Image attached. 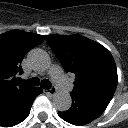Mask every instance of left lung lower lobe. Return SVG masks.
I'll return each instance as SVG.
<instances>
[{
  "instance_id": "0a47b994",
  "label": "left lung lower lobe",
  "mask_w": 128,
  "mask_h": 128,
  "mask_svg": "<svg viewBox=\"0 0 128 128\" xmlns=\"http://www.w3.org/2000/svg\"><path fill=\"white\" fill-rule=\"evenodd\" d=\"M73 103L69 110L58 112V115L73 125H85L99 117L110 100L97 97H82L71 95Z\"/></svg>"
}]
</instances>
